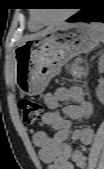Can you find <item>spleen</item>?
Returning a JSON list of instances; mask_svg holds the SVG:
<instances>
[{"instance_id":"obj_1","label":"spleen","mask_w":104,"mask_h":169,"mask_svg":"<svg viewBox=\"0 0 104 169\" xmlns=\"http://www.w3.org/2000/svg\"><path fill=\"white\" fill-rule=\"evenodd\" d=\"M92 25H93V26H96V27H98V28L103 29L102 25H98V24H92Z\"/></svg>"}]
</instances>
